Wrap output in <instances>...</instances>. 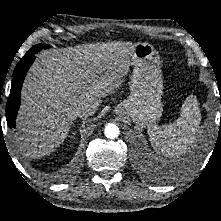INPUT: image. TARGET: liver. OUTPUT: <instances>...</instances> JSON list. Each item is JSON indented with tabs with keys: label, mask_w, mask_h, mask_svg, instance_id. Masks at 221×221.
I'll return each mask as SVG.
<instances>
[{
	"label": "liver",
	"mask_w": 221,
	"mask_h": 221,
	"mask_svg": "<svg viewBox=\"0 0 221 221\" xmlns=\"http://www.w3.org/2000/svg\"><path fill=\"white\" fill-rule=\"evenodd\" d=\"M135 44L102 42L41 52L30 69L17 119V141L26 156L40 158L55 151L76 120V108H96L127 74Z\"/></svg>",
	"instance_id": "liver-1"
}]
</instances>
